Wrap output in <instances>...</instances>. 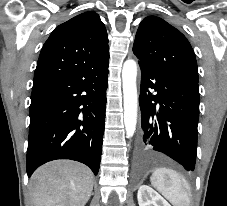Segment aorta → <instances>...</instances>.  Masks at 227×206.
Returning a JSON list of instances; mask_svg holds the SVG:
<instances>
[{"label": "aorta", "mask_w": 227, "mask_h": 206, "mask_svg": "<svg viewBox=\"0 0 227 206\" xmlns=\"http://www.w3.org/2000/svg\"><path fill=\"white\" fill-rule=\"evenodd\" d=\"M137 64L128 59L122 69L123 98H124V125L126 136L132 137L137 123Z\"/></svg>", "instance_id": "762f6f07"}]
</instances>
